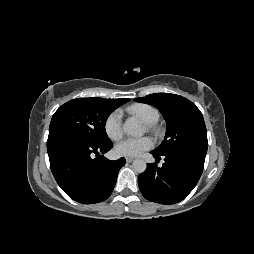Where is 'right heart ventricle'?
Masks as SVG:
<instances>
[{"label":"right heart ventricle","instance_id":"e07e8e85","mask_svg":"<svg viewBox=\"0 0 254 254\" xmlns=\"http://www.w3.org/2000/svg\"><path fill=\"white\" fill-rule=\"evenodd\" d=\"M127 111L139 117L145 124H153L159 118L158 111L151 105L145 103H135L127 108Z\"/></svg>","mask_w":254,"mask_h":254}]
</instances>
